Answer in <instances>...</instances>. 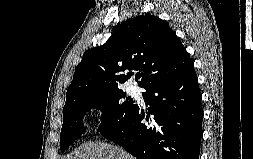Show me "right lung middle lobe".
I'll use <instances>...</instances> for the list:
<instances>
[{"instance_id":"1","label":"right lung middle lobe","mask_w":253,"mask_h":159,"mask_svg":"<svg viewBox=\"0 0 253 159\" xmlns=\"http://www.w3.org/2000/svg\"><path fill=\"white\" fill-rule=\"evenodd\" d=\"M122 90L102 92L75 99L63 107V125L60 135V149L64 152L71 143L85 132L83 117L86 112L96 107L102 111L100 132H105L122 124L136 108L132 100L122 98Z\"/></svg>"}]
</instances>
